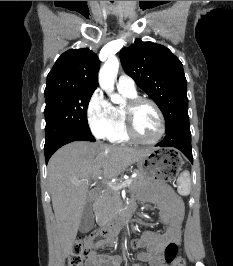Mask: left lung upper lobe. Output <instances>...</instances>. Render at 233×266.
Returning a JSON list of instances; mask_svg holds the SVG:
<instances>
[{"label": "left lung upper lobe", "instance_id": "1", "mask_svg": "<svg viewBox=\"0 0 233 266\" xmlns=\"http://www.w3.org/2000/svg\"><path fill=\"white\" fill-rule=\"evenodd\" d=\"M120 60L125 73L158 105L165 127L188 111L183 65L168 48L137 39L131 47L121 50Z\"/></svg>", "mask_w": 233, "mask_h": 266}]
</instances>
